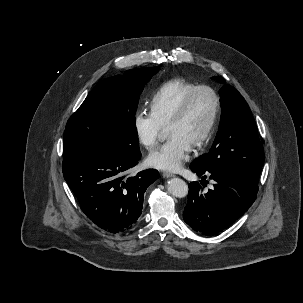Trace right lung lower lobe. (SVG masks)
Listing matches in <instances>:
<instances>
[{"mask_svg":"<svg viewBox=\"0 0 303 303\" xmlns=\"http://www.w3.org/2000/svg\"><path fill=\"white\" fill-rule=\"evenodd\" d=\"M63 156L64 178L82 211L111 233L132 229L142 213L144 192L159 173L148 169L125 178L141 156H125L102 142L85 143Z\"/></svg>","mask_w":303,"mask_h":303,"instance_id":"1","label":"right lung lower lobe"}]
</instances>
